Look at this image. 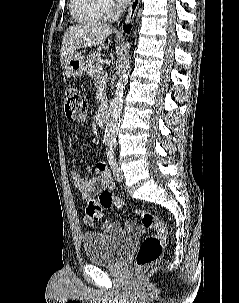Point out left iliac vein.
Segmentation results:
<instances>
[{"label": "left iliac vein", "mask_w": 239, "mask_h": 303, "mask_svg": "<svg viewBox=\"0 0 239 303\" xmlns=\"http://www.w3.org/2000/svg\"><path fill=\"white\" fill-rule=\"evenodd\" d=\"M113 172H114V176H115L116 180L119 182H122L124 179V175H123V171L119 165L116 166V169L113 170Z\"/></svg>", "instance_id": "obj_1"}]
</instances>
